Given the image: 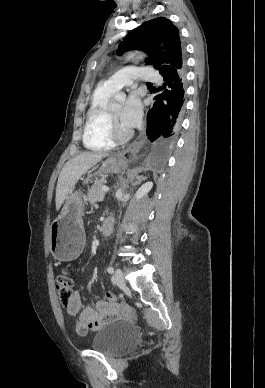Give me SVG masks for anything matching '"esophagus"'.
Wrapping results in <instances>:
<instances>
[{"mask_svg":"<svg viewBox=\"0 0 265 388\" xmlns=\"http://www.w3.org/2000/svg\"><path fill=\"white\" fill-rule=\"evenodd\" d=\"M144 135H145V126L142 132L140 133L138 139L135 142H133L129 147L125 148L120 153H118V156L121 157L123 160H127L128 158H133L136 155L140 147V144L144 140Z\"/></svg>","mask_w":265,"mask_h":388,"instance_id":"esophagus-1","label":"esophagus"}]
</instances>
